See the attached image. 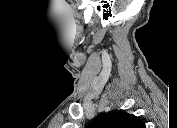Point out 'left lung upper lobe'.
Masks as SVG:
<instances>
[{"label": "left lung upper lobe", "instance_id": "5c2ea615", "mask_svg": "<svg viewBox=\"0 0 177 128\" xmlns=\"http://www.w3.org/2000/svg\"><path fill=\"white\" fill-rule=\"evenodd\" d=\"M92 128H145L144 122L133 114L123 111H110L97 117Z\"/></svg>", "mask_w": 177, "mask_h": 128}]
</instances>
